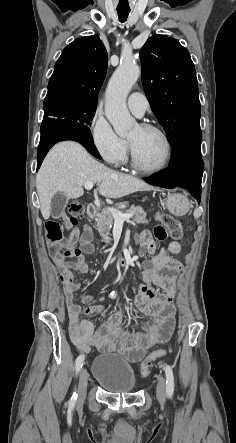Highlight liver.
Here are the masks:
<instances>
[{
	"instance_id": "1",
	"label": "liver",
	"mask_w": 236,
	"mask_h": 443,
	"mask_svg": "<svg viewBox=\"0 0 236 443\" xmlns=\"http://www.w3.org/2000/svg\"><path fill=\"white\" fill-rule=\"evenodd\" d=\"M86 182L99 183L98 191L107 199L152 189L145 182L96 161L80 144L60 142L49 151L36 175L43 218L50 217V203L55 194L60 192L71 199L79 198L84 194Z\"/></svg>"
}]
</instances>
